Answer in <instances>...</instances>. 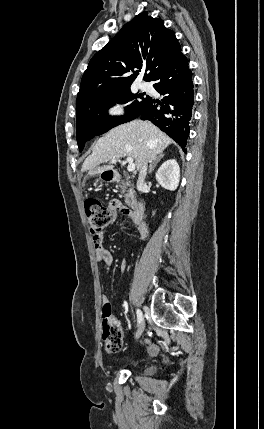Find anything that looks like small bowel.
<instances>
[{
	"mask_svg": "<svg viewBox=\"0 0 264 429\" xmlns=\"http://www.w3.org/2000/svg\"><path fill=\"white\" fill-rule=\"evenodd\" d=\"M116 218H117V213H116V209H115L113 211L112 218H111V221L109 224H112L116 220ZM138 229H139V232L142 236V239L145 240L148 236V228L143 223H140V224H138ZM93 244H94V248H95L96 257H97L98 262L108 272L109 268L111 267V265L114 261V258H113L112 253L103 246L102 235L98 238H93ZM125 268H126L125 264L121 266L122 270H124ZM103 302H104V305L107 303L106 297H104ZM146 342L149 345L148 346V352L151 355L157 354V352L159 350L158 346H156L155 344H152L149 340H146Z\"/></svg>",
	"mask_w": 264,
	"mask_h": 429,
	"instance_id": "c3829d8e",
	"label": "small bowel"
}]
</instances>
